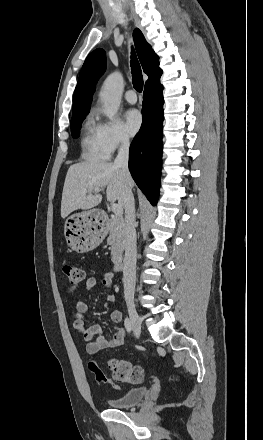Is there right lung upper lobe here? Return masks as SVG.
<instances>
[{"instance_id": "right-lung-upper-lobe-1", "label": "right lung upper lobe", "mask_w": 263, "mask_h": 440, "mask_svg": "<svg viewBox=\"0 0 263 440\" xmlns=\"http://www.w3.org/2000/svg\"><path fill=\"white\" fill-rule=\"evenodd\" d=\"M133 39L143 71L148 75L145 85L159 79L162 70L159 68V58L145 40L142 32L135 29ZM106 68V55L103 49H96L86 58L80 71L78 84L73 96L72 117L88 113L91 107L95 84Z\"/></svg>"}]
</instances>
